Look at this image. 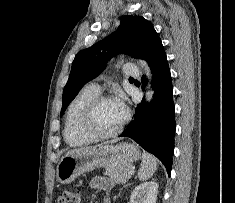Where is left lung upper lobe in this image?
Returning a JSON list of instances; mask_svg holds the SVG:
<instances>
[{
  "instance_id": "5c2ea615",
  "label": "left lung upper lobe",
  "mask_w": 235,
  "mask_h": 203,
  "mask_svg": "<svg viewBox=\"0 0 235 203\" xmlns=\"http://www.w3.org/2000/svg\"><path fill=\"white\" fill-rule=\"evenodd\" d=\"M159 40L153 25L142 16H123L116 32L75 56L63 90L60 115H63L83 85L102 73L111 57L117 53H126L146 60Z\"/></svg>"
}]
</instances>
